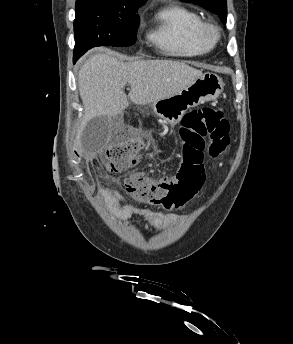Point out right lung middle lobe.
Returning a JSON list of instances; mask_svg holds the SVG:
<instances>
[{
    "label": "right lung middle lobe",
    "instance_id": "right-lung-middle-lobe-1",
    "mask_svg": "<svg viewBox=\"0 0 293 344\" xmlns=\"http://www.w3.org/2000/svg\"><path fill=\"white\" fill-rule=\"evenodd\" d=\"M138 7L112 5L84 0L75 6L74 20L76 61L95 46H130L135 43Z\"/></svg>",
    "mask_w": 293,
    "mask_h": 344
}]
</instances>
